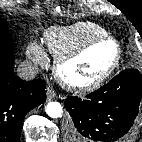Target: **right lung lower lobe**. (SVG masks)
I'll return each mask as SVG.
<instances>
[{
	"label": "right lung lower lobe",
	"mask_w": 142,
	"mask_h": 142,
	"mask_svg": "<svg viewBox=\"0 0 142 142\" xmlns=\"http://www.w3.org/2000/svg\"><path fill=\"white\" fill-rule=\"evenodd\" d=\"M13 65V52L0 51V142H19L26 114L46 97L42 79L21 80Z\"/></svg>",
	"instance_id": "right-lung-lower-lobe-1"
}]
</instances>
